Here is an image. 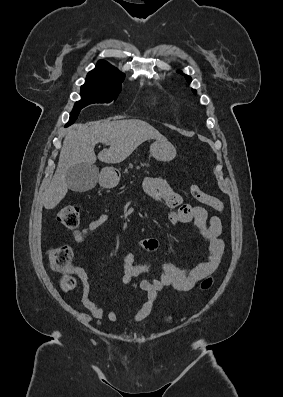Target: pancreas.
Instances as JSON below:
<instances>
[{"label":"pancreas","mask_w":283,"mask_h":397,"mask_svg":"<svg viewBox=\"0 0 283 397\" xmlns=\"http://www.w3.org/2000/svg\"><path fill=\"white\" fill-rule=\"evenodd\" d=\"M142 166H143V165H142ZM129 168H130V169H132V168H133V165H132V164H130Z\"/></svg>","instance_id":"obj_1"}]
</instances>
